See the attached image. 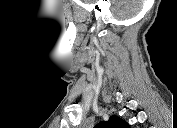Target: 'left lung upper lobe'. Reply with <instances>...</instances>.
Masks as SVG:
<instances>
[{
    "label": "left lung upper lobe",
    "mask_w": 177,
    "mask_h": 128,
    "mask_svg": "<svg viewBox=\"0 0 177 128\" xmlns=\"http://www.w3.org/2000/svg\"><path fill=\"white\" fill-rule=\"evenodd\" d=\"M97 128H129V125L117 116H111L108 122H101Z\"/></svg>",
    "instance_id": "left-lung-upper-lobe-1"
}]
</instances>
